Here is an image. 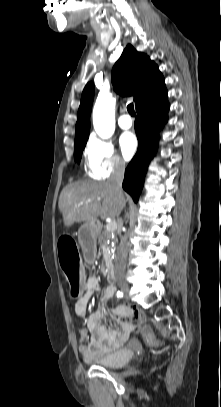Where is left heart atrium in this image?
<instances>
[{"label": "left heart atrium", "mask_w": 221, "mask_h": 407, "mask_svg": "<svg viewBox=\"0 0 221 407\" xmlns=\"http://www.w3.org/2000/svg\"><path fill=\"white\" fill-rule=\"evenodd\" d=\"M120 148L125 159H130L137 149V139L133 133L126 132L120 137Z\"/></svg>", "instance_id": "left-heart-atrium-1"}]
</instances>
